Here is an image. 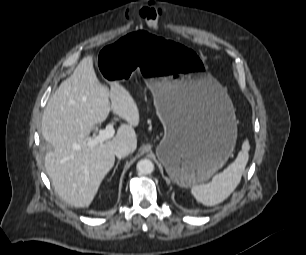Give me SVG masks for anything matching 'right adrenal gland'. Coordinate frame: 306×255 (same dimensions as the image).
<instances>
[{"label":"right adrenal gland","instance_id":"2a0ac1e0","mask_svg":"<svg viewBox=\"0 0 306 255\" xmlns=\"http://www.w3.org/2000/svg\"><path fill=\"white\" fill-rule=\"evenodd\" d=\"M119 163H120L119 161L116 163V166L114 167V170H113L112 176L115 174V171H116V169L118 168ZM112 176H111V177H112Z\"/></svg>","mask_w":306,"mask_h":255}]
</instances>
